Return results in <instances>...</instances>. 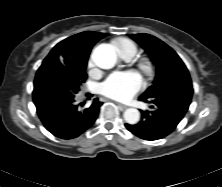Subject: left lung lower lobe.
<instances>
[{"mask_svg":"<svg viewBox=\"0 0 222 187\" xmlns=\"http://www.w3.org/2000/svg\"><path fill=\"white\" fill-rule=\"evenodd\" d=\"M180 95L171 98L173 91L165 90L153 98L139 100L153 103V111H142V120L136 125L125 124L136 136L145 140H158L169 135L184 117L193 95L192 84L180 87Z\"/></svg>","mask_w":222,"mask_h":187,"instance_id":"obj_1","label":"left lung lower lobe"}]
</instances>
